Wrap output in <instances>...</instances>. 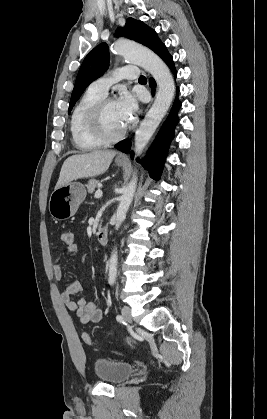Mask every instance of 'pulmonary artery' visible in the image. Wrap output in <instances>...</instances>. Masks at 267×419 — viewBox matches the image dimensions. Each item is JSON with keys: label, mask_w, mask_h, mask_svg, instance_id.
Masks as SVG:
<instances>
[{"label": "pulmonary artery", "mask_w": 267, "mask_h": 419, "mask_svg": "<svg viewBox=\"0 0 267 419\" xmlns=\"http://www.w3.org/2000/svg\"><path fill=\"white\" fill-rule=\"evenodd\" d=\"M139 75L138 68L135 66H122L113 73L95 80L90 88L102 94H107L110 86L121 79H137Z\"/></svg>", "instance_id": "obj_1"}]
</instances>
